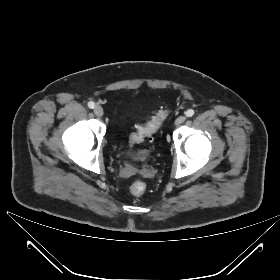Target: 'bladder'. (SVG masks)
Masks as SVG:
<instances>
[{
	"instance_id": "31cf9c89",
	"label": "bladder",
	"mask_w": 280,
	"mask_h": 280,
	"mask_svg": "<svg viewBox=\"0 0 280 280\" xmlns=\"http://www.w3.org/2000/svg\"><path fill=\"white\" fill-rule=\"evenodd\" d=\"M134 158L141 163H145L150 158V152L145 149H140L134 156Z\"/></svg>"
}]
</instances>
